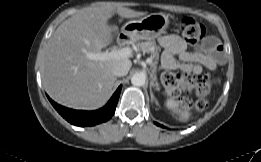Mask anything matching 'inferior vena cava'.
I'll return each mask as SVG.
<instances>
[{"instance_id": "602c4592", "label": "inferior vena cava", "mask_w": 261, "mask_h": 162, "mask_svg": "<svg viewBox=\"0 0 261 162\" xmlns=\"http://www.w3.org/2000/svg\"><path fill=\"white\" fill-rule=\"evenodd\" d=\"M131 62L125 61V62H119L117 63L113 68V74L116 77L126 76L128 74V71L131 68Z\"/></svg>"}]
</instances>
